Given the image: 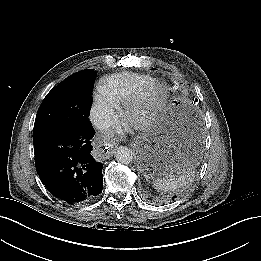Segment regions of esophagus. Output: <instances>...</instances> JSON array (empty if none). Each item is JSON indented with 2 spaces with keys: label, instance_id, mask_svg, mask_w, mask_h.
<instances>
[{
  "label": "esophagus",
  "instance_id": "esophagus-1",
  "mask_svg": "<svg viewBox=\"0 0 261 261\" xmlns=\"http://www.w3.org/2000/svg\"><path fill=\"white\" fill-rule=\"evenodd\" d=\"M111 154H112V153H111V152H109L108 154H106V157H109Z\"/></svg>",
  "mask_w": 261,
  "mask_h": 261
}]
</instances>
